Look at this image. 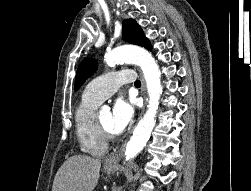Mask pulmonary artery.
Returning <instances> with one entry per match:
<instances>
[{
    "label": "pulmonary artery",
    "instance_id": "e3ab8cb5",
    "mask_svg": "<svg viewBox=\"0 0 251 191\" xmlns=\"http://www.w3.org/2000/svg\"><path fill=\"white\" fill-rule=\"evenodd\" d=\"M133 71V68H126L104 74L90 83L83 96L103 101L113 95L121 85L132 82L137 76Z\"/></svg>",
    "mask_w": 251,
    "mask_h": 191
}]
</instances>
